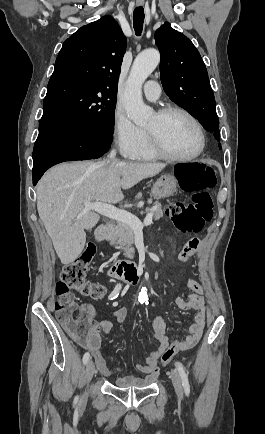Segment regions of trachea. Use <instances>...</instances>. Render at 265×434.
<instances>
[{
  "mask_svg": "<svg viewBox=\"0 0 265 434\" xmlns=\"http://www.w3.org/2000/svg\"><path fill=\"white\" fill-rule=\"evenodd\" d=\"M145 14L143 7H136L133 12V26L137 35H140L143 29Z\"/></svg>",
  "mask_w": 265,
  "mask_h": 434,
  "instance_id": "3493384b",
  "label": "trachea"
}]
</instances>
